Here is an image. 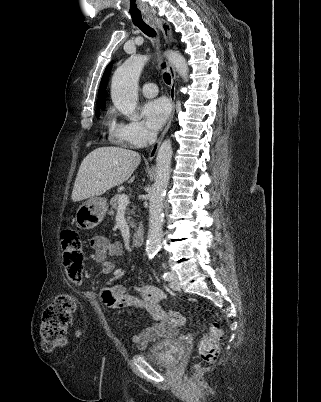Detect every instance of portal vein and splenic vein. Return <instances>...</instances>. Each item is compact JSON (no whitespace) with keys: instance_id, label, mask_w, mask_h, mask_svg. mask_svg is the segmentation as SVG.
Wrapping results in <instances>:
<instances>
[{"instance_id":"1","label":"portal vein and splenic vein","mask_w":321,"mask_h":402,"mask_svg":"<svg viewBox=\"0 0 321 402\" xmlns=\"http://www.w3.org/2000/svg\"><path fill=\"white\" fill-rule=\"evenodd\" d=\"M129 204V198L126 194H122L118 200L119 207H126Z\"/></svg>"}]
</instances>
